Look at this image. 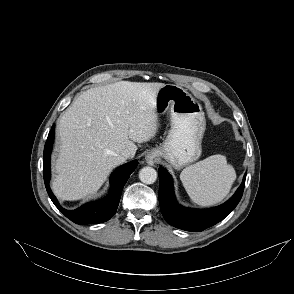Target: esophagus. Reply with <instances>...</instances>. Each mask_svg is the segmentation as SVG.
Returning <instances> with one entry per match:
<instances>
[{"label":"esophagus","mask_w":294,"mask_h":294,"mask_svg":"<svg viewBox=\"0 0 294 294\" xmlns=\"http://www.w3.org/2000/svg\"><path fill=\"white\" fill-rule=\"evenodd\" d=\"M146 162L149 164V165H153L155 160H154V156L149 154L146 156Z\"/></svg>","instance_id":"esophagus-1"}]
</instances>
